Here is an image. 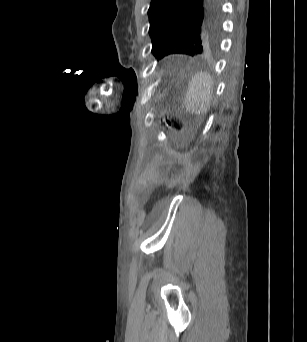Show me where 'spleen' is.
I'll return each instance as SVG.
<instances>
[{"label": "spleen", "mask_w": 307, "mask_h": 342, "mask_svg": "<svg viewBox=\"0 0 307 342\" xmlns=\"http://www.w3.org/2000/svg\"><path fill=\"white\" fill-rule=\"evenodd\" d=\"M214 82L208 72H197L192 76V80L186 92L184 110L188 114H204L205 110H210L212 90Z\"/></svg>", "instance_id": "3e777b00"}]
</instances>
